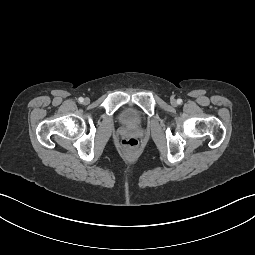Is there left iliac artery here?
<instances>
[{"label": "left iliac artery", "instance_id": "1", "mask_svg": "<svg viewBox=\"0 0 255 255\" xmlns=\"http://www.w3.org/2000/svg\"><path fill=\"white\" fill-rule=\"evenodd\" d=\"M177 103H178V104H181V103H182V100H181V99H178V100H177Z\"/></svg>", "mask_w": 255, "mask_h": 255}]
</instances>
